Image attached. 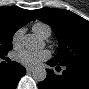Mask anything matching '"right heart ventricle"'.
I'll return each mask as SVG.
<instances>
[{"instance_id": "right-heart-ventricle-1", "label": "right heart ventricle", "mask_w": 89, "mask_h": 89, "mask_svg": "<svg viewBox=\"0 0 89 89\" xmlns=\"http://www.w3.org/2000/svg\"><path fill=\"white\" fill-rule=\"evenodd\" d=\"M33 31L35 34H37L39 37L43 38L46 33L51 34V29L48 25L44 23H36L33 26Z\"/></svg>"}]
</instances>
